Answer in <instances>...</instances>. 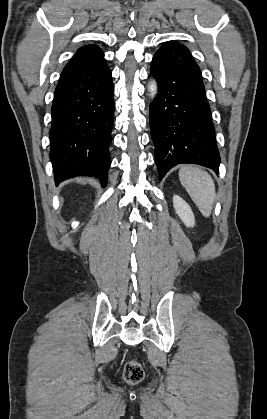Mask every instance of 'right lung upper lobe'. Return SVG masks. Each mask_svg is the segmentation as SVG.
Instances as JSON below:
<instances>
[{
  "instance_id": "1",
  "label": "right lung upper lobe",
  "mask_w": 267,
  "mask_h": 419,
  "mask_svg": "<svg viewBox=\"0 0 267 419\" xmlns=\"http://www.w3.org/2000/svg\"><path fill=\"white\" fill-rule=\"evenodd\" d=\"M104 61V54L98 46L87 45L78 49L70 62L79 64H97Z\"/></svg>"
}]
</instances>
